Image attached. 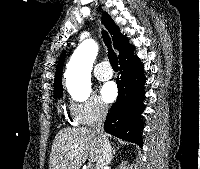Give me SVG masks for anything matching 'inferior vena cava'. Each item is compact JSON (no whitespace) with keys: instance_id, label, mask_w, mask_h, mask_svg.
<instances>
[{"instance_id":"obj_1","label":"inferior vena cava","mask_w":200,"mask_h":169,"mask_svg":"<svg viewBox=\"0 0 200 169\" xmlns=\"http://www.w3.org/2000/svg\"><path fill=\"white\" fill-rule=\"evenodd\" d=\"M108 113V107L101 104L97 108L96 119L91 129L98 135L101 156L99 157L96 169H107L112 160V147L104 132V122Z\"/></svg>"}]
</instances>
